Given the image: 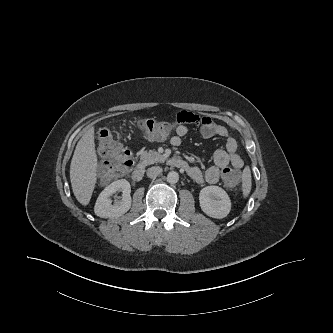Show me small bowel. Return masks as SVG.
I'll return each mask as SVG.
<instances>
[{
	"label": "small bowel",
	"instance_id": "c3829d8e",
	"mask_svg": "<svg viewBox=\"0 0 333 333\" xmlns=\"http://www.w3.org/2000/svg\"><path fill=\"white\" fill-rule=\"evenodd\" d=\"M178 126L176 127V135L170 139L172 146L178 147L181 145L182 138L188 135L189 129L186 124L199 125L200 134L203 138L221 137L225 141L224 148H219L214 152V165L209 167L206 171H201L197 167H189L188 174L195 181L202 183L207 182L209 184L217 183L223 171L232 166L236 170H240L243 167V160L238 154L237 143L232 138L227 129L215 123L210 118L205 116H198L190 112H181L177 117Z\"/></svg>",
	"mask_w": 333,
	"mask_h": 333
}]
</instances>
